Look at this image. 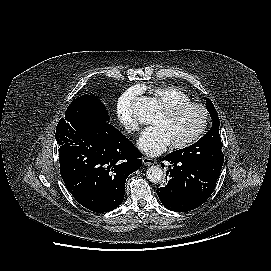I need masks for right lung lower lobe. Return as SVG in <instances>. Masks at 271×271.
I'll list each match as a JSON object with an SVG mask.
<instances>
[{
  "label": "right lung lower lobe",
  "instance_id": "right-lung-lower-lobe-1",
  "mask_svg": "<svg viewBox=\"0 0 271 271\" xmlns=\"http://www.w3.org/2000/svg\"><path fill=\"white\" fill-rule=\"evenodd\" d=\"M55 138L61 176L77 202L98 213L117 208L127 177L142 165L134 145L106 121L62 118Z\"/></svg>",
  "mask_w": 271,
  "mask_h": 271
}]
</instances>
